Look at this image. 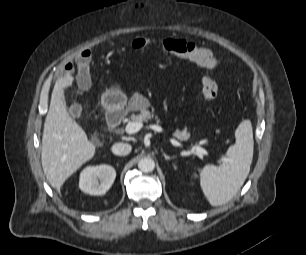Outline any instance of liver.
<instances>
[{"instance_id":"obj_1","label":"liver","mask_w":306,"mask_h":255,"mask_svg":"<svg viewBox=\"0 0 306 255\" xmlns=\"http://www.w3.org/2000/svg\"><path fill=\"white\" fill-rule=\"evenodd\" d=\"M72 83L73 76L69 72L56 81L42 137V168L50 185L58 192L73 173L93 158L96 150L67 112L63 88Z\"/></svg>"}]
</instances>
